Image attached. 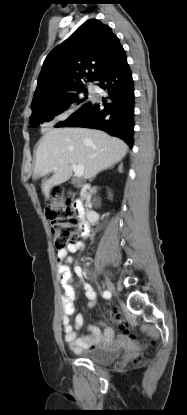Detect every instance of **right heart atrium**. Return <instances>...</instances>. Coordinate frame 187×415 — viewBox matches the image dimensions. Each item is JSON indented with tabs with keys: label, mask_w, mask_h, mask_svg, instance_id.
<instances>
[{
	"label": "right heart atrium",
	"mask_w": 187,
	"mask_h": 415,
	"mask_svg": "<svg viewBox=\"0 0 187 415\" xmlns=\"http://www.w3.org/2000/svg\"><path fill=\"white\" fill-rule=\"evenodd\" d=\"M68 117H69V114L67 111H60L54 114L53 121L55 123H60V122L67 120Z\"/></svg>",
	"instance_id": "right-heart-atrium-1"
}]
</instances>
